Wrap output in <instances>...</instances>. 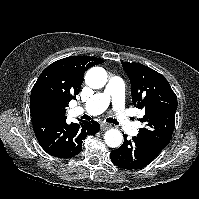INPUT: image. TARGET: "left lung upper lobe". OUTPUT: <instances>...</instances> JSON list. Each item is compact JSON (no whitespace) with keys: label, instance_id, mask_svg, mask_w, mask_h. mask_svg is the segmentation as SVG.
Masks as SVG:
<instances>
[{"label":"left lung upper lobe","instance_id":"left-lung-upper-lobe-1","mask_svg":"<svg viewBox=\"0 0 199 199\" xmlns=\"http://www.w3.org/2000/svg\"><path fill=\"white\" fill-rule=\"evenodd\" d=\"M131 82L132 102L145 111L138 135L165 147L171 140L177 97L160 73L140 63H122Z\"/></svg>","mask_w":199,"mask_h":199}]
</instances>
